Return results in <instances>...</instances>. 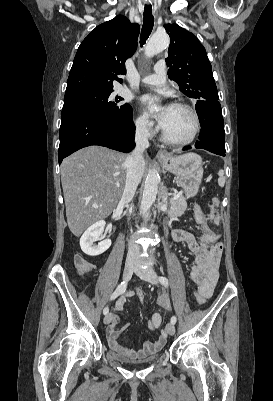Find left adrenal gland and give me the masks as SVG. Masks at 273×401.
<instances>
[{
  "mask_svg": "<svg viewBox=\"0 0 273 401\" xmlns=\"http://www.w3.org/2000/svg\"><path fill=\"white\" fill-rule=\"evenodd\" d=\"M167 194H168L167 186H163V190H162L160 196L162 198L164 205H167Z\"/></svg>",
  "mask_w": 273,
  "mask_h": 401,
  "instance_id": "left-adrenal-gland-1",
  "label": "left adrenal gland"
}]
</instances>
